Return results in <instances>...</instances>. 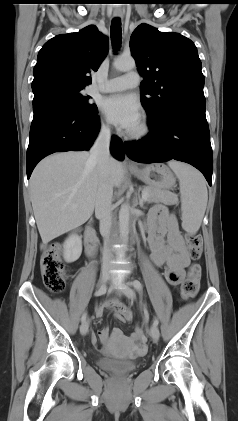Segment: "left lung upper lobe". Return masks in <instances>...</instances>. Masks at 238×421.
Instances as JSON below:
<instances>
[{
    "instance_id": "left-lung-upper-lobe-1",
    "label": "left lung upper lobe",
    "mask_w": 238,
    "mask_h": 421,
    "mask_svg": "<svg viewBox=\"0 0 238 421\" xmlns=\"http://www.w3.org/2000/svg\"><path fill=\"white\" fill-rule=\"evenodd\" d=\"M130 49L144 77L140 92L148 123L156 122L173 104L205 98L201 61L190 39L143 23L132 33Z\"/></svg>"
}]
</instances>
